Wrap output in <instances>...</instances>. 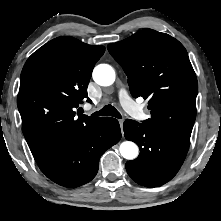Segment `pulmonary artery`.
<instances>
[{
  "mask_svg": "<svg viewBox=\"0 0 221 221\" xmlns=\"http://www.w3.org/2000/svg\"><path fill=\"white\" fill-rule=\"evenodd\" d=\"M119 99L123 108L137 119H144L145 114L141 108L131 99L128 92L122 88L119 90Z\"/></svg>",
  "mask_w": 221,
  "mask_h": 221,
  "instance_id": "pulmonary-artery-1",
  "label": "pulmonary artery"
}]
</instances>
